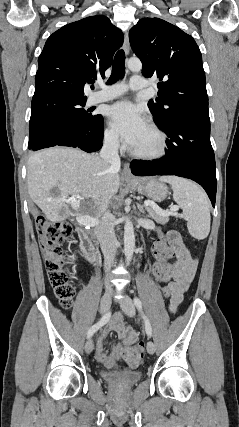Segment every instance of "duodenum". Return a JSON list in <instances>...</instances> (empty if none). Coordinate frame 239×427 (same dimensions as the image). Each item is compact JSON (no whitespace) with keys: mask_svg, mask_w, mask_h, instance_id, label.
Wrapping results in <instances>:
<instances>
[{"mask_svg":"<svg viewBox=\"0 0 239 427\" xmlns=\"http://www.w3.org/2000/svg\"><path fill=\"white\" fill-rule=\"evenodd\" d=\"M77 233H78V237H79V241H80V247H81L86 259L91 264H96L97 263V252H96V248H95L88 232L84 228L78 227Z\"/></svg>","mask_w":239,"mask_h":427,"instance_id":"duodenum-1","label":"duodenum"}]
</instances>
